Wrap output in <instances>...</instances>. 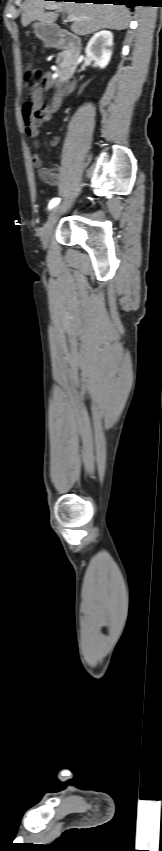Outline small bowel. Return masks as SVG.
Returning <instances> with one entry per match:
<instances>
[{"instance_id":"obj_1","label":"small bowel","mask_w":162,"mask_h":851,"mask_svg":"<svg viewBox=\"0 0 162 851\" xmlns=\"http://www.w3.org/2000/svg\"><path fill=\"white\" fill-rule=\"evenodd\" d=\"M77 87L78 82L75 77H70L62 83V79L58 75L46 74L44 84L33 91L30 104L23 108V120L27 135L36 139L39 127L50 120L51 115L59 109L62 100H65L68 94L74 93ZM47 88L57 91L50 102L44 100V92ZM59 140L58 136L52 137L50 146H57ZM38 145V141L35 140V146L38 147ZM31 163L37 169L38 176L43 182L50 185L59 183L61 167L58 164L52 163L49 168L44 167L42 159L37 153L31 157Z\"/></svg>"}]
</instances>
